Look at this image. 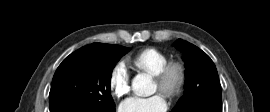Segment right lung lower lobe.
Segmentation results:
<instances>
[{"label": "right lung lower lobe", "instance_id": "98d812e1", "mask_svg": "<svg viewBox=\"0 0 270 112\" xmlns=\"http://www.w3.org/2000/svg\"><path fill=\"white\" fill-rule=\"evenodd\" d=\"M50 112H115V107L102 109L93 105H66L50 108Z\"/></svg>", "mask_w": 270, "mask_h": 112}]
</instances>
